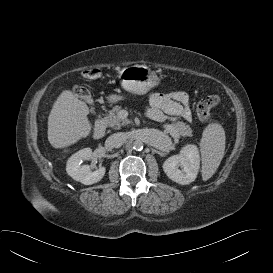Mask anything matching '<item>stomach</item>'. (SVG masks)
Here are the masks:
<instances>
[{"mask_svg":"<svg viewBox=\"0 0 273 273\" xmlns=\"http://www.w3.org/2000/svg\"><path fill=\"white\" fill-rule=\"evenodd\" d=\"M121 86L129 93L143 95L160 84L156 72L143 65L124 67L118 75ZM120 95H110L108 101L116 103L122 100Z\"/></svg>","mask_w":273,"mask_h":273,"instance_id":"1","label":"stomach"}]
</instances>
